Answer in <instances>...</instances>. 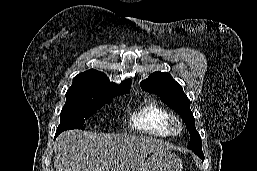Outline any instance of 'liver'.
<instances>
[{"label":"liver","instance_id":"liver-1","mask_svg":"<svg viewBox=\"0 0 257 171\" xmlns=\"http://www.w3.org/2000/svg\"><path fill=\"white\" fill-rule=\"evenodd\" d=\"M168 150L153 138L71 130L55 142L54 165L56 171H144L150 153Z\"/></svg>","mask_w":257,"mask_h":171}]
</instances>
